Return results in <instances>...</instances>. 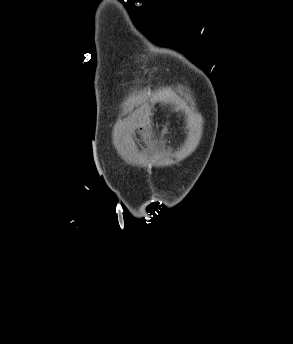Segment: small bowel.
<instances>
[{"label": "small bowel", "mask_w": 293, "mask_h": 344, "mask_svg": "<svg viewBox=\"0 0 293 344\" xmlns=\"http://www.w3.org/2000/svg\"><path fill=\"white\" fill-rule=\"evenodd\" d=\"M146 139L148 138V133L145 134Z\"/></svg>", "instance_id": "obj_1"}]
</instances>
